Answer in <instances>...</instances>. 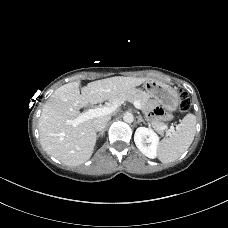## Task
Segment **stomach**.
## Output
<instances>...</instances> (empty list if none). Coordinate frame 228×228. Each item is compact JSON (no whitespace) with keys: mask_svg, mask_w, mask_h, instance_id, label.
<instances>
[{"mask_svg":"<svg viewBox=\"0 0 228 228\" xmlns=\"http://www.w3.org/2000/svg\"><path fill=\"white\" fill-rule=\"evenodd\" d=\"M142 87L149 97L154 98L167 110L175 111L177 109L180 101L179 95L171 86L159 80L150 79L144 82Z\"/></svg>","mask_w":228,"mask_h":228,"instance_id":"obj_1","label":"stomach"}]
</instances>
